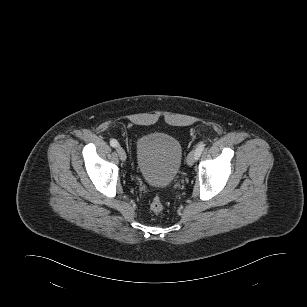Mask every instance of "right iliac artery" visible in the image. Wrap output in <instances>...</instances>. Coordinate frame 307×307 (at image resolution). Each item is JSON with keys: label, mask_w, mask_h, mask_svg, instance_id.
Returning <instances> with one entry per match:
<instances>
[{"label": "right iliac artery", "mask_w": 307, "mask_h": 307, "mask_svg": "<svg viewBox=\"0 0 307 307\" xmlns=\"http://www.w3.org/2000/svg\"><path fill=\"white\" fill-rule=\"evenodd\" d=\"M110 145L115 148V147H118L119 143L117 142L116 139H111L110 140Z\"/></svg>", "instance_id": "obj_1"}]
</instances>
